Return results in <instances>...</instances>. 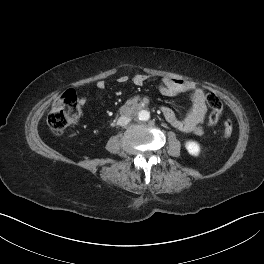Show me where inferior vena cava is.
<instances>
[{
  "instance_id": "obj_1",
  "label": "inferior vena cava",
  "mask_w": 264,
  "mask_h": 264,
  "mask_svg": "<svg viewBox=\"0 0 264 264\" xmlns=\"http://www.w3.org/2000/svg\"><path fill=\"white\" fill-rule=\"evenodd\" d=\"M130 121H131L130 117L121 116V117L118 119V121H117V125H119V126H125V125H127Z\"/></svg>"
}]
</instances>
